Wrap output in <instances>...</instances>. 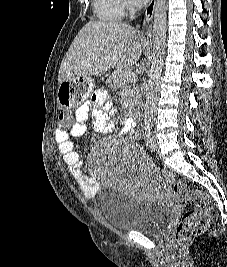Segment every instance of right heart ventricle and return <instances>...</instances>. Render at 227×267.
I'll use <instances>...</instances> for the list:
<instances>
[{"label": "right heart ventricle", "mask_w": 227, "mask_h": 267, "mask_svg": "<svg viewBox=\"0 0 227 267\" xmlns=\"http://www.w3.org/2000/svg\"><path fill=\"white\" fill-rule=\"evenodd\" d=\"M96 16L105 22H116L123 18L125 7L122 0H93Z\"/></svg>", "instance_id": "e07e8e85"}]
</instances>
